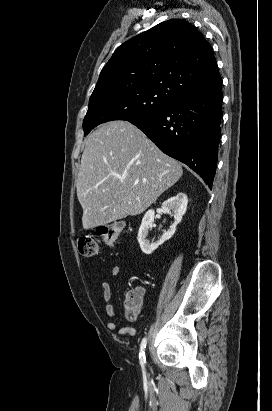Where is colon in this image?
Listing matches in <instances>:
<instances>
[{
  "label": "colon",
  "mask_w": 272,
  "mask_h": 411,
  "mask_svg": "<svg viewBox=\"0 0 272 411\" xmlns=\"http://www.w3.org/2000/svg\"><path fill=\"white\" fill-rule=\"evenodd\" d=\"M124 228L122 222H114L103 225L98 229V235L103 243L112 246ZM78 250L82 256L93 257L98 254V243L92 235H84L78 239ZM143 302V294L135 289L127 293L126 296V317L128 320H135Z\"/></svg>",
  "instance_id": "1"
}]
</instances>
